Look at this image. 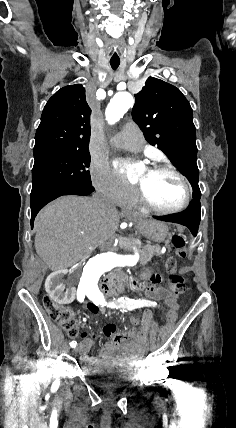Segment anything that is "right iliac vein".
I'll use <instances>...</instances> for the list:
<instances>
[{"label":"right iliac vein","instance_id":"right-iliac-vein-1","mask_svg":"<svg viewBox=\"0 0 236 428\" xmlns=\"http://www.w3.org/2000/svg\"><path fill=\"white\" fill-rule=\"evenodd\" d=\"M76 348L73 351V356H78V351L81 349L79 346H75Z\"/></svg>","mask_w":236,"mask_h":428}]
</instances>
